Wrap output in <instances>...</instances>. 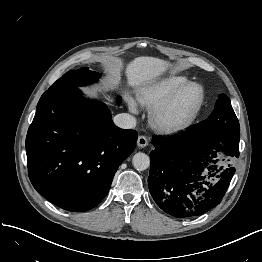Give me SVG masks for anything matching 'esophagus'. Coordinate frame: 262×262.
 I'll return each mask as SVG.
<instances>
[{
  "label": "esophagus",
  "instance_id": "obj_1",
  "mask_svg": "<svg viewBox=\"0 0 262 262\" xmlns=\"http://www.w3.org/2000/svg\"><path fill=\"white\" fill-rule=\"evenodd\" d=\"M149 139L145 135H140L137 140V145L140 148H144L148 145Z\"/></svg>",
  "mask_w": 262,
  "mask_h": 262
}]
</instances>
